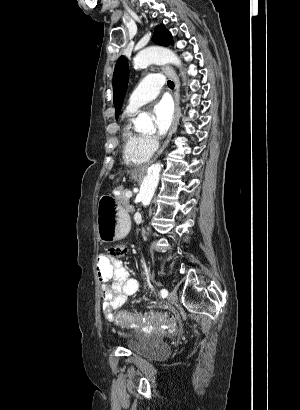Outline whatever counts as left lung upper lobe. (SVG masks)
I'll return each mask as SVG.
<instances>
[{
	"label": "left lung upper lobe",
	"instance_id": "5c2ea615",
	"mask_svg": "<svg viewBox=\"0 0 300 410\" xmlns=\"http://www.w3.org/2000/svg\"><path fill=\"white\" fill-rule=\"evenodd\" d=\"M152 40L156 44L162 46L173 44L172 36L170 32L164 27V25L156 26ZM128 77V61L124 56H120L116 63L113 74V100L115 105L116 118L120 113L124 96L127 90Z\"/></svg>",
	"mask_w": 300,
	"mask_h": 410
}]
</instances>
